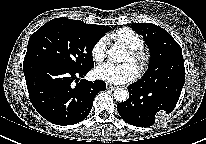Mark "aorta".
Returning <instances> with one entry per match:
<instances>
[{
	"label": "aorta",
	"instance_id": "obj_1",
	"mask_svg": "<svg viewBox=\"0 0 206 144\" xmlns=\"http://www.w3.org/2000/svg\"><path fill=\"white\" fill-rule=\"evenodd\" d=\"M125 53V49L119 44H114L108 50V55L117 62L123 61ZM114 98L118 102H125L129 98V93L124 88H117L114 91Z\"/></svg>",
	"mask_w": 206,
	"mask_h": 144
}]
</instances>
